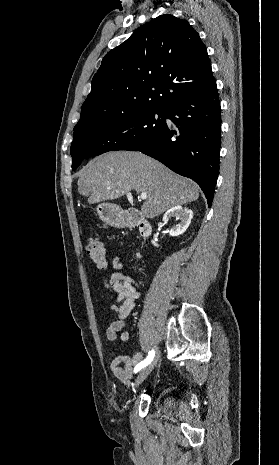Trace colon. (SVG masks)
I'll return each instance as SVG.
<instances>
[{
  "label": "colon",
  "instance_id": "colon-1",
  "mask_svg": "<svg viewBox=\"0 0 279 465\" xmlns=\"http://www.w3.org/2000/svg\"><path fill=\"white\" fill-rule=\"evenodd\" d=\"M86 250L89 258L99 268H105L107 266V257L104 246L98 238H90L87 241Z\"/></svg>",
  "mask_w": 279,
  "mask_h": 465
}]
</instances>
